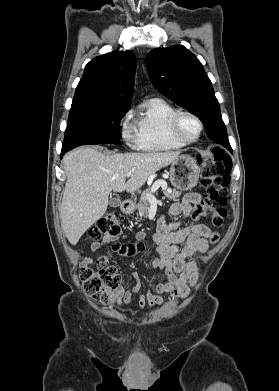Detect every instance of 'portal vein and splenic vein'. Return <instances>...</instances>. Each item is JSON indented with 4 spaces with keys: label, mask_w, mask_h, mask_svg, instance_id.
Returning a JSON list of instances; mask_svg holds the SVG:
<instances>
[{
    "label": "portal vein and splenic vein",
    "mask_w": 279,
    "mask_h": 391,
    "mask_svg": "<svg viewBox=\"0 0 279 391\" xmlns=\"http://www.w3.org/2000/svg\"><path fill=\"white\" fill-rule=\"evenodd\" d=\"M132 175V172H129L127 174V177H130ZM161 185H163V181H156L153 185L152 191H156ZM166 186V185H165ZM146 199L148 200L149 203H158V200L153 196L152 193L148 194L146 196Z\"/></svg>",
    "instance_id": "1"
}]
</instances>
